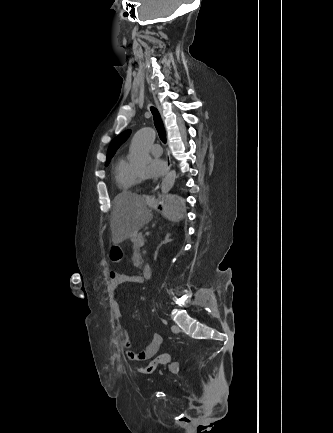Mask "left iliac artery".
<instances>
[{"label": "left iliac artery", "mask_w": 333, "mask_h": 433, "mask_svg": "<svg viewBox=\"0 0 333 433\" xmlns=\"http://www.w3.org/2000/svg\"><path fill=\"white\" fill-rule=\"evenodd\" d=\"M162 321H163L164 324H167V321L165 319H162Z\"/></svg>", "instance_id": "left-iliac-artery-1"}]
</instances>
